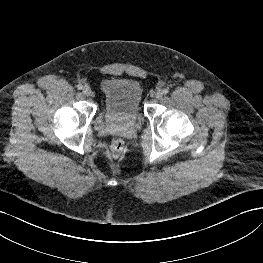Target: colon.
<instances>
[{
	"label": "colon",
	"instance_id": "1",
	"mask_svg": "<svg viewBox=\"0 0 263 263\" xmlns=\"http://www.w3.org/2000/svg\"><path fill=\"white\" fill-rule=\"evenodd\" d=\"M123 142L120 141V140H117L115 141L113 144H112V150L115 154H119L122 152L123 150Z\"/></svg>",
	"mask_w": 263,
	"mask_h": 263
}]
</instances>
